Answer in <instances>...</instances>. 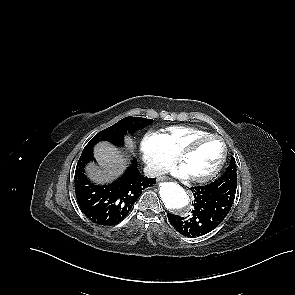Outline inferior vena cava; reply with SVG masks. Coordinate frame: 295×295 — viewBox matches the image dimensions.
<instances>
[{
	"label": "inferior vena cava",
	"instance_id": "602c4592",
	"mask_svg": "<svg viewBox=\"0 0 295 295\" xmlns=\"http://www.w3.org/2000/svg\"><path fill=\"white\" fill-rule=\"evenodd\" d=\"M144 173L147 177H158L163 174V169L158 165H147Z\"/></svg>",
	"mask_w": 295,
	"mask_h": 295
}]
</instances>
